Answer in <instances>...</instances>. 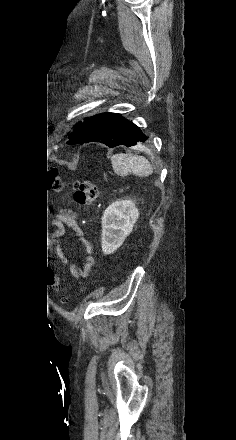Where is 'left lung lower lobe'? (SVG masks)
Listing matches in <instances>:
<instances>
[{"label": "left lung lower lobe", "instance_id": "1", "mask_svg": "<svg viewBox=\"0 0 236 440\" xmlns=\"http://www.w3.org/2000/svg\"><path fill=\"white\" fill-rule=\"evenodd\" d=\"M146 140L147 136L134 123L120 114L107 112L88 118L67 143L100 142L109 147H131Z\"/></svg>", "mask_w": 236, "mask_h": 440}]
</instances>
